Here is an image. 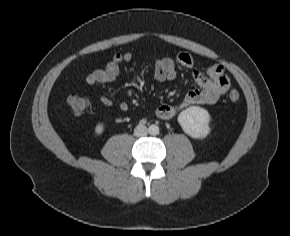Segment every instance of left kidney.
I'll return each instance as SVG.
<instances>
[{
  "label": "left kidney",
  "instance_id": "left-kidney-1",
  "mask_svg": "<svg viewBox=\"0 0 290 236\" xmlns=\"http://www.w3.org/2000/svg\"><path fill=\"white\" fill-rule=\"evenodd\" d=\"M210 114L204 108L192 106L182 111L178 122L183 131L192 138H205L209 132Z\"/></svg>",
  "mask_w": 290,
  "mask_h": 236
}]
</instances>
